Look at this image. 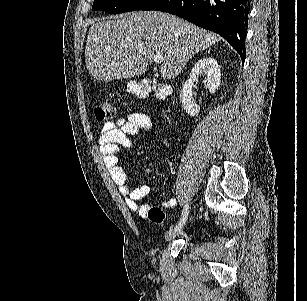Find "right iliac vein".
Here are the masks:
<instances>
[{"instance_id":"obj_1","label":"right iliac vein","mask_w":307,"mask_h":301,"mask_svg":"<svg viewBox=\"0 0 307 301\" xmlns=\"http://www.w3.org/2000/svg\"><path fill=\"white\" fill-rule=\"evenodd\" d=\"M183 226H181L179 229H171L165 234V241H172L175 239V237L182 231Z\"/></svg>"}]
</instances>
